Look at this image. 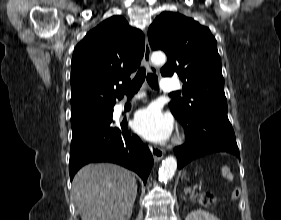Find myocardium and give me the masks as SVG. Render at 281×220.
Listing matches in <instances>:
<instances>
[{
  "instance_id": "1",
  "label": "myocardium",
  "mask_w": 281,
  "mask_h": 220,
  "mask_svg": "<svg viewBox=\"0 0 281 220\" xmlns=\"http://www.w3.org/2000/svg\"><path fill=\"white\" fill-rule=\"evenodd\" d=\"M176 140L179 141V140H180V137H177Z\"/></svg>"
}]
</instances>
